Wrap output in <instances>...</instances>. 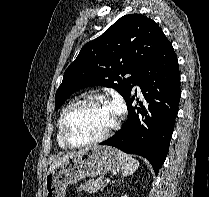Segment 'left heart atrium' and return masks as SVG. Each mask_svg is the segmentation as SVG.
Returning a JSON list of instances; mask_svg holds the SVG:
<instances>
[{"label": "left heart atrium", "mask_w": 209, "mask_h": 197, "mask_svg": "<svg viewBox=\"0 0 209 197\" xmlns=\"http://www.w3.org/2000/svg\"><path fill=\"white\" fill-rule=\"evenodd\" d=\"M110 104H111V108L113 109L116 116L121 113L122 106H121V103L119 100H114Z\"/></svg>", "instance_id": "left-heart-atrium-1"}]
</instances>
